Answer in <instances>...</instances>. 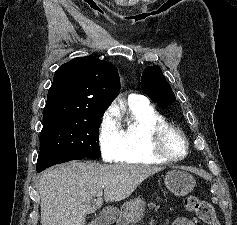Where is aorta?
<instances>
[{
    "mask_svg": "<svg viewBox=\"0 0 237 225\" xmlns=\"http://www.w3.org/2000/svg\"><path fill=\"white\" fill-rule=\"evenodd\" d=\"M109 111H110L113 115L119 116V110H118L117 108L111 107V108L109 109Z\"/></svg>",
    "mask_w": 237,
    "mask_h": 225,
    "instance_id": "aorta-1",
    "label": "aorta"
}]
</instances>
